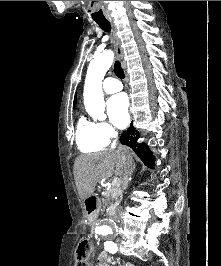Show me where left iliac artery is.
Here are the masks:
<instances>
[{"label": "left iliac artery", "instance_id": "1", "mask_svg": "<svg viewBox=\"0 0 221 266\" xmlns=\"http://www.w3.org/2000/svg\"><path fill=\"white\" fill-rule=\"evenodd\" d=\"M98 234H102V235H107L106 232H97ZM104 247L106 251H109L110 253L114 254L118 251V247L117 244H115L112 241H106L104 243Z\"/></svg>", "mask_w": 221, "mask_h": 266}]
</instances>
